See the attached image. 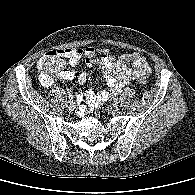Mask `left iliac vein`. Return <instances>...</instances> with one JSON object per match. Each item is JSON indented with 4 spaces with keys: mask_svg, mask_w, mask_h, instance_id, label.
<instances>
[{
    "mask_svg": "<svg viewBox=\"0 0 195 195\" xmlns=\"http://www.w3.org/2000/svg\"><path fill=\"white\" fill-rule=\"evenodd\" d=\"M109 110L112 112V113H116V112H118V110H119V106L117 105V104H111V105H109Z\"/></svg>",
    "mask_w": 195,
    "mask_h": 195,
    "instance_id": "obj_1",
    "label": "left iliac vein"
}]
</instances>
